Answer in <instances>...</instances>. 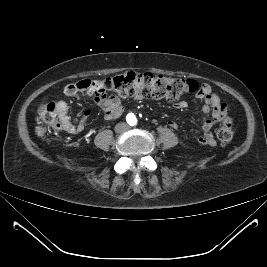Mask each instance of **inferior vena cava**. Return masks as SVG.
<instances>
[{
    "label": "inferior vena cava",
    "mask_w": 267,
    "mask_h": 267,
    "mask_svg": "<svg viewBox=\"0 0 267 267\" xmlns=\"http://www.w3.org/2000/svg\"><path fill=\"white\" fill-rule=\"evenodd\" d=\"M128 129V125L126 123H118L116 126H115V131L118 132V133H121V132H124Z\"/></svg>",
    "instance_id": "602c4592"
}]
</instances>
